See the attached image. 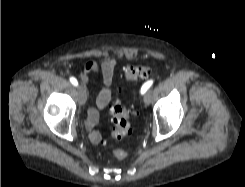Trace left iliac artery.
<instances>
[{
	"mask_svg": "<svg viewBox=\"0 0 245 187\" xmlns=\"http://www.w3.org/2000/svg\"><path fill=\"white\" fill-rule=\"evenodd\" d=\"M153 84V80H149L143 84L141 87V94H144Z\"/></svg>",
	"mask_w": 245,
	"mask_h": 187,
	"instance_id": "left-iliac-artery-1",
	"label": "left iliac artery"
}]
</instances>
